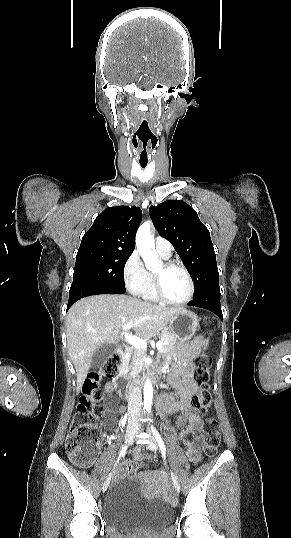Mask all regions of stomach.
Returning a JSON list of instances; mask_svg holds the SVG:
<instances>
[{"label": "stomach", "mask_w": 291, "mask_h": 538, "mask_svg": "<svg viewBox=\"0 0 291 538\" xmlns=\"http://www.w3.org/2000/svg\"><path fill=\"white\" fill-rule=\"evenodd\" d=\"M197 325L198 318L196 314L188 310H182L173 316L168 328L179 341H187L195 334Z\"/></svg>", "instance_id": "stomach-1"}]
</instances>
